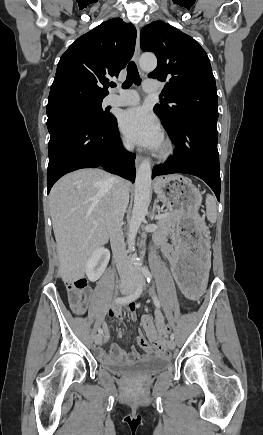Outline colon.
I'll return each mask as SVG.
<instances>
[{
  "instance_id": "1",
  "label": "colon",
  "mask_w": 263,
  "mask_h": 435,
  "mask_svg": "<svg viewBox=\"0 0 263 435\" xmlns=\"http://www.w3.org/2000/svg\"><path fill=\"white\" fill-rule=\"evenodd\" d=\"M88 283L85 279H78L74 281L66 282V288L68 292V300L72 310L76 314H83L86 310V298ZM171 325L167 324L165 326L166 335H171ZM149 341L152 343L149 339ZM164 341V340H163Z\"/></svg>"
}]
</instances>
